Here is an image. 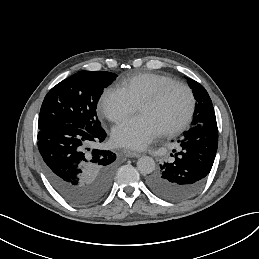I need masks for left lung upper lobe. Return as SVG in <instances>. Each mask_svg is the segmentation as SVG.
Returning <instances> with one entry per match:
<instances>
[{
	"mask_svg": "<svg viewBox=\"0 0 259 259\" xmlns=\"http://www.w3.org/2000/svg\"><path fill=\"white\" fill-rule=\"evenodd\" d=\"M188 84L193 90V94L197 101L192 125L194 126L201 123H215L216 117L214 108L205 88L193 79H188Z\"/></svg>",
	"mask_w": 259,
	"mask_h": 259,
	"instance_id": "5c2ea615",
	"label": "left lung upper lobe"
}]
</instances>
